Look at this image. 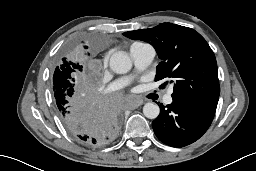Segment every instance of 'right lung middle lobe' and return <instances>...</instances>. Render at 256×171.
I'll list each match as a JSON object with an SVG mask.
<instances>
[{
    "label": "right lung middle lobe",
    "instance_id": "right-lung-middle-lobe-1",
    "mask_svg": "<svg viewBox=\"0 0 256 171\" xmlns=\"http://www.w3.org/2000/svg\"><path fill=\"white\" fill-rule=\"evenodd\" d=\"M82 70L78 63L71 62L69 58H62L59 66L55 68L53 76V90L57 107L72 106L85 94L87 89L81 87L76 80L77 72Z\"/></svg>",
    "mask_w": 256,
    "mask_h": 171
}]
</instances>
